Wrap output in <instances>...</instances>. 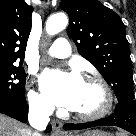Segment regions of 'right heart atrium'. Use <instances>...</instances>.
<instances>
[{
	"mask_svg": "<svg viewBox=\"0 0 136 136\" xmlns=\"http://www.w3.org/2000/svg\"><path fill=\"white\" fill-rule=\"evenodd\" d=\"M28 103L34 112L42 115H48L52 112V106L48 100L35 90L28 93Z\"/></svg>",
	"mask_w": 136,
	"mask_h": 136,
	"instance_id": "1",
	"label": "right heart atrium"
}]
</instances>
